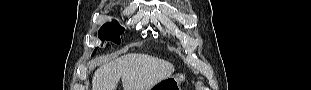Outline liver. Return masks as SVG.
Wrapping results in <instances>:
<instances>
[{
    "label": "liver",
    "mask_w": 311,
    "mask_h": 90,
    "mask_svg": "<svg viewBox=\"0 0 311 90\" xmlns=\"http://www.w3.org/2000/svg\"><path fill=\"white\" fill-rule=\"evenodd\" d=\"M174 66L147 54H126L99 67L92 79V90H116L122 79L124 90H151L170 77Z\"/></svg>",
    "instance_id": "liver-1"
}]
</instances>
